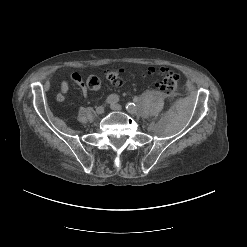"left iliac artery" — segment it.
<instances>
[{"instance_id": "left-iliac-artery-1", "label": "left iliac artery", "mask_w": 247, "mask_h": 247, "mask_svg": "<svg viewBox=\"0 0 247 247\" xmlns=\"http://www.w3.org/2000/svg\"><path fill=\"white\" fill-rule=\"evenodd\" d=\"M136 105L137 104H134L133 102H129L126 104V109L128 110L129 114L134 115L139 113V107Z\"/></svg>"}]
</instances>
